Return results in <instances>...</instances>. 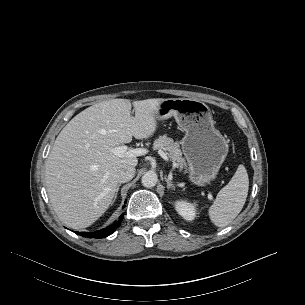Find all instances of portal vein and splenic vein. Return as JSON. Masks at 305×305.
<instances>
[{
    "mask_svg": "<svg viewBox=\"0 0 305 305\" xmlns=\"http://www.w3.org/2000/svg\"><path fill=\"white\" fill-rule=\"evenodd\" d=\"M113 153L118 157H123V156L137 157V156L145 155L147 153V150L144 148L130 149L126 145H123V146L115 147L113 149ZM159 153L163 158L167 159V156L163 151H160Z\"/></svg>",
    "mask_w": 305,
    "mask_h": 305,
    "instance_id": "portal-vein-and-splenic-vein-1",
    "label": "portal vein and splenic vein"
}]
</instances>
